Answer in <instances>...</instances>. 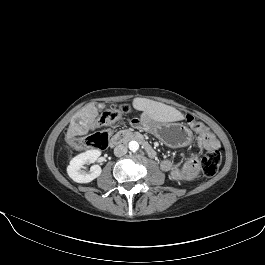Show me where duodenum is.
I'll return each mask as SVG.
<instances>
[{"label": "duodenum", "instance_id": "410a0bca", "mask_svg": "<svg viewBox=\"0 0 265 265\" xmlns=\"http://www.w3.org/2000/svg\"><path fill=\"white\" fill-rule=\"evenodd\" d=\"M128 139H134V140L139 141L143 145L147 154L151 158H156L157 154H156L155 149L149 143H147L144 140V138L141 134H139L137 132H133L130 130L121 131L112 137L110 144L112 147H115V146L120 145L121 143H123L124 141H126Z\"/></svg>", "mask_w": 265, "mask_h": 265}]
</instances>
